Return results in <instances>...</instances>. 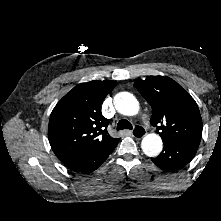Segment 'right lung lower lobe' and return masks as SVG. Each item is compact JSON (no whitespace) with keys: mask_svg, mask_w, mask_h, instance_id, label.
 <instances>
[{"mask_svg":"<svg viewBox=\"0 0 221 221\" xmlns=\"http://www.w3.org/2000/svg\"><path fill=\"white\" fill-rule=\"evenodd\" d=\"M115 147L107 150L104 153L85 155L79 158H75L64 164L72 171L79 173H91L108 158V156L113 152Z\"/></svg>","mask_w":221,"mask_h":221,"instance_id":"right-lung-lower-lobe-1","label":"right lung lower lobe"}]
</instances>
